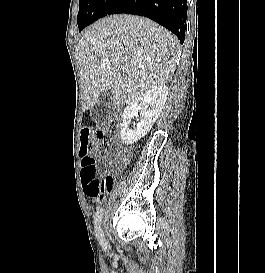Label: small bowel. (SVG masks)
Instances as JSON below:
<instances>
[{
  "label": "small bowel",
  "mask_w": 265,
  "mask_h": 273,
  "mask_svg": "<svg viewBox=\"0 0 265 273\" xmlns=\"http://www.w3.org/2000/svg\"><path fill=\"white\" fill-rule=\"evenodd\" d=\"M80 128L81 129H94L95 128V125L94 124H81L80 125ZM118 154H119V156H123L124 155V153H123V151H118ZM87 197L89 198V199H91V200H94L95 202H97V203H100L104 198L103 197H95V196H92V195H90V194H87Z\"/></svg>",
  "instance_id": "1"
}]
</instances>
